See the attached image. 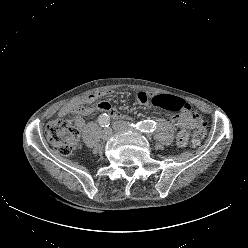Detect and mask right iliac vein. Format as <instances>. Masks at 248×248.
I'll return each mask as SVG.
<instances>
[{
    "label": "right iliac vein",
    "instance_id": "63e3f726",
    "mask_svg": "<svg viewBox=\"0 0 248 248\" xmlns=\"http://www.w3.org/2000/svg\"><path fill=\"white\" fill-rule=\"evenodd\" d=\"M113 132L110 128H106L103 130V133H102V138L104 140H108L109 138H111Z\"/></svg>",
    "mask_w": 248,
    "mask_h": 248
}]
</instances>
